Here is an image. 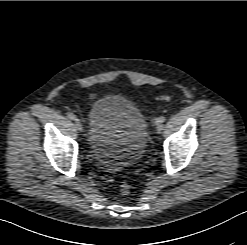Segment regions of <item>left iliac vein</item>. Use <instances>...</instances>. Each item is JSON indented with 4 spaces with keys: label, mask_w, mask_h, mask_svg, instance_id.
I'll use <instances>...</instances> for the list:
<instances>
[{
    "label": "left iliac vein",
    "mask_w": 247,
    "mask_h": 245,
    "mask_svg": "<svg viewBox=\"0 0 247 245\" xmlns=\"http://www.w3.org/2000/svg\"><path fill=\"white\" fill-rule=\"evenodd\" d=\"M156 130L160 133L163 130V124L156 121Z\"/></svg>",
    "instance_id": "obj_1"
}]
</instances>
